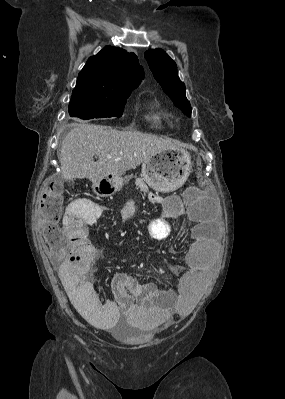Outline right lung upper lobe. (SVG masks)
<instances>
[{"label": "right lung upper lobe", "mask_w": 285, "mask_h": 399, "mask_svg": "<svg viewBox=\"0 0 285 399\" xmlns=\"http://www.w3.org/2000/svg\"><path fill=\"white\" fill-rule=\"evenodd\" d=\"M143 77V68L134 53L106 46L88 59L78 75L72 96L108 97L131 92Z\"/></svg>", "instance_id": "obj_1"}]
</instances>
